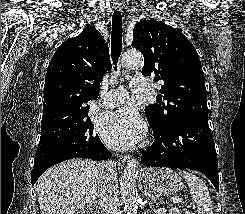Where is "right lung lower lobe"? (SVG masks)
Masks as SVG:
<instances>
[{
    "instance_id": "obj_1",
    "label": "right lung lower lobe",
    "mask_w": 245,
    "mask_h": 214,
    "mask_svg": "<svg viewBox=\"0 0 245 214\" xmlns=\"http://www.w3.org/2000/svg\"><path fill=\"white\" fill-rule=\"evenodd\" d=\"M96 141L84 151L71 149L60 143L39 144L34 167L32 169L31 180L35 184L40 175L49 167L72 158H89L94 160H108L111 158V152L102 144L96 134Z\"/></svg>"
}]
</instances>
